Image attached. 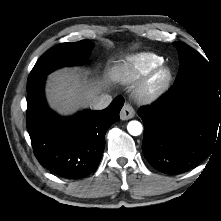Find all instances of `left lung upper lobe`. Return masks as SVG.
<instances>
[{
    "mask_svg": "<svg viewBox=\"0 0 221 221\" xmlns=\"http://www.w3.org/2000/svg\"><path fill=\"white\" fill-rule=\"evenodd\" d=\"M179 54L180 67L174 85L188 82H198L221 93V74L212 70L207 60L181 42H174Z\"/></svg>",
    "mask_w": 221,
    "mask_h": 221,
    "instance_id": "1",
    "label": "left lung upper lobe"
}]
</instances>
